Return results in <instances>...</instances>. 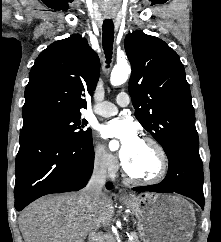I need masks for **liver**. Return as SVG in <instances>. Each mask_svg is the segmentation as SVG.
I'll list each match as a JSON object with an SVG mask.
<instances>
[{
	"label": "liver",
	"mask_w": 221,
	"mask_h": 242,
	"mask_svg": "<svg viewBox=\"0 0 221 242\" xmlns=\"http://www.w3.org/2000/svg\"><path fill=\"white\" fill-rule=\"evenodd\" d=\"M82 193L46 197L30 204L19 218L25 242H84L87 235L93 238L99 227L110 223L113 201L103 194L89 209Z\"/></svg>",
	"instance_id": "obj_1"
}]
</instances>
